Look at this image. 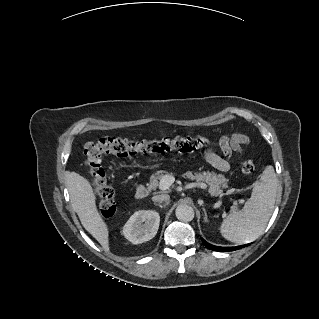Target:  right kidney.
<instances>
[{
    "label": "right kidney",
    "mask_w": 319,
    "mask_h": 319,
    "mask_svg": "<svg viewBox=\"0 0 319 319\" xmlns=\"http://www.w3.org/2000/svg\"><path fill=\"white\" fill-rule=\"evenodd\" d=\"M160 223L159 213L153 210L135 212L123 227V235L133 244L151 240L157 233Z\"/></svg>",
    "instance_id": "right-kidney-1"
}]
</instances>
